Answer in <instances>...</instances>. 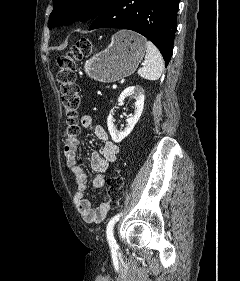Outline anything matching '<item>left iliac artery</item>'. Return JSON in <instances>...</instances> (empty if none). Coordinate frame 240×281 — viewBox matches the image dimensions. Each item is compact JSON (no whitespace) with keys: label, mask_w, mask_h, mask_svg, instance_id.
<instances>
[{"label":"left iliac artery","mask_w":240,"mask_h":281,"mask_svg":"<svg viewBox=\"0 0 240 281\" xmlns=\"http://www.w3.org/2000/svg\"><path fill=\"white\" fill-rule=\"evenodd\" d=\"M121 215H122V213H118L117 215L112 217L111 220L107 224L106 235H107V240H108V243H109L112 251H116L118 248V245L113 236V227H114L115 223L119 220Z\"/></svg>","instance_id":"44dca946"}]
</instances>
